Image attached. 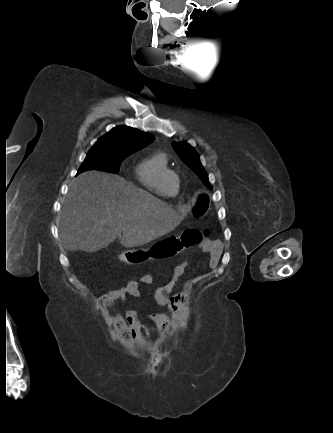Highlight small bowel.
<instances>
[{"instance_id": "c3829d8e", "label": "small bowel", "mask_w": 333, "mask_h": 433, "mask_svg": "<svg viewBox=\"0 0 333 433\" xmlns=\"http://www.w3.org/2000/svg\"><path fill=\"white\" fill-rule=\"evenodd\" d=\"M202 250L210 254L208 261L209 268H215L221 256L220 246L217 243H209L203 245ZM187 265L188 262L185 259L177 263L172 270L170 278L165 283L159 284L153 289L152 297L156 310L147 313L160 327L161 340L163 342L169 340L178 332V326L175 321L160 311L162 307H168L175 318L181 322L183 328H187L191 321L189 309L190 295H171L176 281L184 273ZM152 283V274H144L140 281H134L125 287L111 290L107 294L102 295L97 301V308L105 320L112 340L118 344H122L127 349L132 348L134 345L145 346L151 342L147 328L140 322L139 311L137 309L130 308L121 315L117 311L110 310L108 304L116 301L125 304L132 303L141 297V285Z\"/></svg>"}]
</instances>
